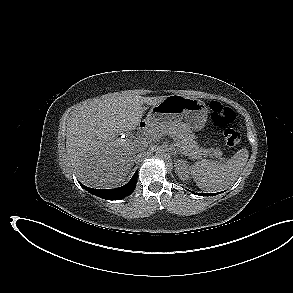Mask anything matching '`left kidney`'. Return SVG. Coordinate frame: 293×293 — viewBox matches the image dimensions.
Returning a JSON list of instances; mask_svg holds the SVG:
<instances>
[{"mask_svg": "<svg viewBox=\"0 0 293 293\" xmlns=\"http://www.w3.org/2000/svg\"><path fill=\"white\" fill-rule=\"evenodd\" d=\"M175 172L183 181H188L190 167L185 160L175 161Z\"/></svg>", "mask_w": 293, "mask_h": 293, "instance_id": "obj_1", "label": "left kidney"}]
</instances>
